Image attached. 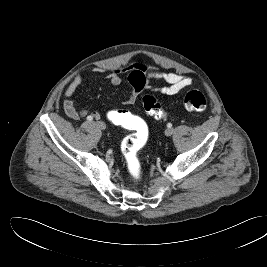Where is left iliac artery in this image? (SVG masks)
Returning a JSON list of instances; mask_svg holds the SVG:
<instances>
[{
    "label": "left iliac artery",
    "instance_id": "1",
    "mask_svg": "<svg viewBox=\"0 0 267 267\" xmlns=\"http://www.w3.org/2000/svg\"><path fill=\"white\" fill-rule=\"evenodd\" d=\"M167 127H168V128H171V127H172V124H171V123H168V124H167Z\"/></svg>",
    "mask_w": 267,
    "mask_h": 267
}]
</instances>
